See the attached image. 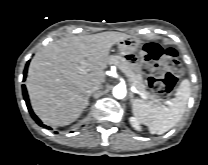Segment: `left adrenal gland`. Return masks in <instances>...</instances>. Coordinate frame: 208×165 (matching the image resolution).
Masks as SVG:
<instances>
[{"instance_id": "1", "label": "left adrenal gland", "mask_w": 208, "mask_h": 165, "mask_svg": "<svg viewBox=\"0 0 208 165\" xmlns=\"http://www.w3.org/2000/svg\"><path fill=\"white\" fill-rule=\"evenodd\" d=\"M130 101L133 102L134 99H133V93H130Z\"/></svg>"}]
</instances>
